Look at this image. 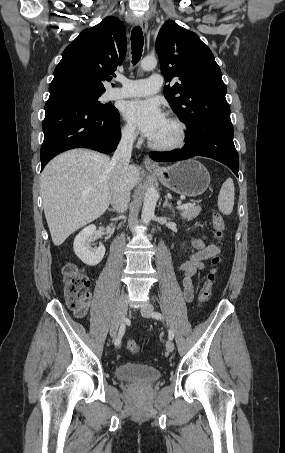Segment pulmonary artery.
Segmentation results:
<instances>
[{"label":"pulmonary artery","mask_w":285,"mask_h":453,"mask_svg":"<svg viewBox=\"0 0 285 453\" xmlns=\"http://www.w3.org/2000/svg\"><path fill=\"white\" fill-rule=\"evenodd\" d=\"M121 86L108 92L110 99L144 97L156 93L163 84V76L158 73L152 74L146 79H119Z\"/></svg>","instance_id":"obj_1"}]
</instances>
